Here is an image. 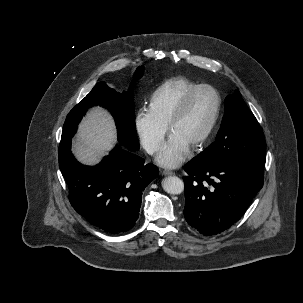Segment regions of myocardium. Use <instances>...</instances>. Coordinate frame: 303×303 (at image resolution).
<instances>
[{
	"instance_id": "f54148a6",
	"label": "myocardium",
	"mask_w": 303,
	"mask_h": 303,
	"mask_svg": "<svg viewBox=\"0 0 303 303\" xmlns=\"http://www.w3.org/2000/svg\"><path fill=\"white\" fill-rule=\"evenodd\" d=\"M203 89H208L215 94L216 106H215L214 114H213L211 121H210L209 125L207 126L206 130L192 145V148L194 150L201 148L206 143V141L209 139V137L211 136V134L213 133V131L217 125V122L220 117L221 109H222V97H221L219 91L215 87H213L212 85H209V84L197 85L196 87H194L193 89H191L189 92L186 93V95L183 97V99L177 106L176 110L174 111V113L172 114V116L168 122V130L171 132L173 127L175 126V124L183 117V115L187 111L193 97L200 90H203Z\"/></svg>"
}]
</instances>
